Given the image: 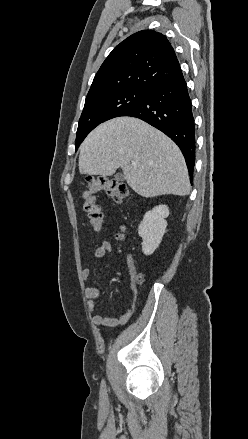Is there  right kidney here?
I'll list each match as a JSON object with an SVG mask.
<instances>
[{
  "instance_id": "right-kidney-1",
  "label": "right kidney",
  "mask_w": 248,
  "mask_h": 439,
  "mask_svg": "<svg viewBox=\"0 0 248 439\" xmlns=\"http://www.w3.org/2000/svg\"><path fill=\"white\" fill-rule=\"evenodd\" d=\"M169 215L167 205H159L145 213L138 228V234L142 238V251L145 255H151L161 243L166 232Z\"/></svg>"
}]
</instances>
